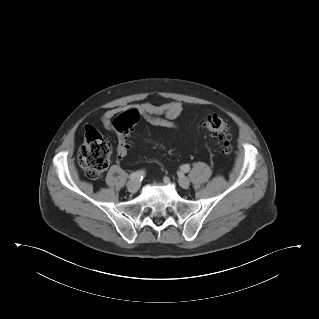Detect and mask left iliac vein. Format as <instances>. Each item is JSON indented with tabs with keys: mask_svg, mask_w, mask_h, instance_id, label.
Instances as JSON below:
<instances>
[{
	"mask_svg": "<svg viewBox=\"0 0 319 319\" xmlns=\"http://www.w3.org/2000/svg\"><path fill=\"white\" fill-rule=\"evenodd\" d=\"M178 182H179V185L182 187V188H188L189 185H190V181L187 177L183 176V175H180L179 178H178Z\"/></svg>",
	"mask_w": 319,
	"mask_h": 319,
	"instance_id": "obj_1",
	"label": "left iliac vein"
}]
</instances>
